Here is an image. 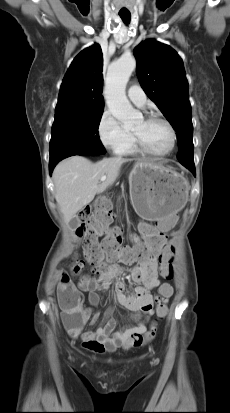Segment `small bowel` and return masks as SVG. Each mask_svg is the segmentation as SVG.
<instances>
[{
  "mask_svg": "<svg viewBox=\"0 0 230 413\" xmlns=\"http://www.w3.org/2000/svg\"><path fill=\"white\" fill-rule=\"evenodd\" d=\"M179 220L178 214H171L170 218H160L159 222H154L153 218H140L139 224L143 236L147 239L158 235V231H173L175 223H178ZM132 240L135 245L140 242L135 235L132 236ZM108 261L111 264L107 266L106 272L97 280L85 277L77 287L70 284H60L58 289L59 297L69 291L80 297L78 306L81 314L80 323L74 325L71 313L66 310L63 312L62 319L70 337L73 339L81 338L83 347L95 353L112 352L119 347H130L135 337L146 333L147 321L154 313L151 290L157 289L158 296L165 299H169L173 295V287L168 283H162L160 280V277L164 278V276L157 273L158 263L156 259L140 262L137 266L131 268L130 277L140 283L131 295H126L124 283L116 280L117 276L123 272L122 267L116 263L119 259H109ZM111 287L115 302L130 312L131 315L126 317V320L130 323L116 330V320L113 317V312L109 310L105 313L103 322L98 328L84 330L87 323L94 324L100 317L98 312L93 311V308L99 303L98 291L109 290ZM82 291H89L88 302L90 307L83 308ZM142 313L146 315V318H140Z\"/></svg>",
  "mask_w": 230,
  "mask_h": 413,
  "instance_id": "small-bowel-1",
  "label": "small bowel"
}]
</instances>
